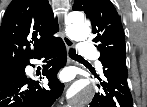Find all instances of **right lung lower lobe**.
Masks as SVG:
<instances>
[{
	"mask_svg": "<svg viewBox=\"0 0 147 107\" xmlns=\"http://www.w3.org/2000/svg\"><path fill=\"white\" fill-rule=\"evenodd\" d=\"M34 58H45L42 75L47 78L49 88H41L38 80L28 78L24 66L22 72L0 81V107H51L62 94L64 84L57 79V73L67 59L63 40L57 38Z\"/></svg>",
	"mask_w": 147,
	"mask_h": 107,
	"instance_id": "right-lung-lower-lobe-1",
	"label": "right lung lower lobe"
}]
</instances>
